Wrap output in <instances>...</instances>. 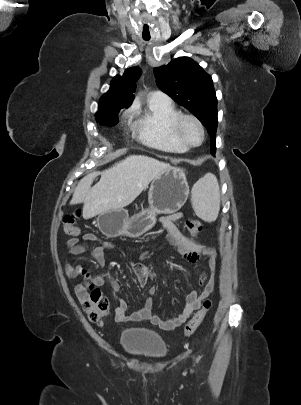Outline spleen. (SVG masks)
Returning a JSON list of instances; mask_svg holds the SVG:
<instances>
[{"instance_id": "3e777b00", "label": "spleen", "mask_w": 301, "mask_h": 405, "mask_svg": "<svg viewBox=\"0 0 301 405\" xmlns=\"http://www.w3.org/2000/svg\"><path fill=\"white\" fill-rule=\"evenodd\" d=\"M192 204L196 214L203 220H216L220 209V191L216 177L207 174L192 188Z\"/></svg>"}]
</instances>
